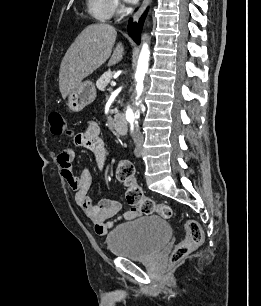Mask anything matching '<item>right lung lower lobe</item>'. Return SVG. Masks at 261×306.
I'll list each match as a JSON object with an SVG mask.
<instances>
[{"label": "right lung lower lobe", "instance_id": "right-lung-lower-lobe-1", "mask_svg": "<svg viewBox=\"0 0 261 306\" xmlns=\"http://www.w3.org/2000/svg\"><path fill=\"white\" fill-rule=\"evenodd\" d=\"M145 17H146V13L143 14L138 24L132 23V20H130V24L128 25V33L137 44L140 43V33L142 30V26H143Z\"/></svg>", "mask_w": 261, "mask_h": 306}]
</instances>
